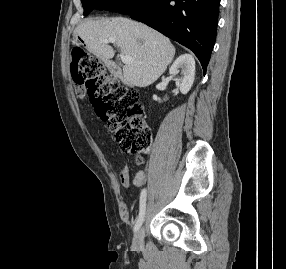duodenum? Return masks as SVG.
I'll return each instance as SVG.
<instances>
[{
    "label": "duodenum",
    "mask_w": 286,
    "mask_h": 269,
    "mask_svg": "<svg viewBox=\"0 0 286 269\" xmlns=\"http://www.w3.org/2000/svg\"><path fill=\"white\" fill-rule=\"evenodd\" d=\"M107 67H108L111 74L118 76V77L122 76V72H121L119 66L115 62L108 61Z\"/></svg>",
    "instance_id": "1"
}]
</instances>
